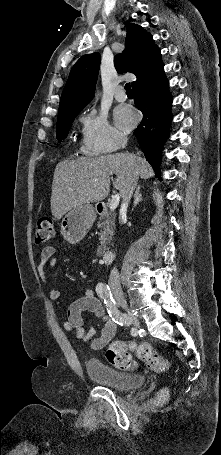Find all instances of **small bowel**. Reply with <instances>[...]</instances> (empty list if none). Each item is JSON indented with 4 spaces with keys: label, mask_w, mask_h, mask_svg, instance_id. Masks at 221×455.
Returning a JSON list of instances; mask_svg holds the SVG:
<instances>
[{
    "label": "small bowel",
    "mask_w": 221,
    "mask_h": 455,
    "mask_svg": "<svg viewBox=\"0 0 221 455\" xmlns=\"http://www.w3.org/2000/svg\"><path fill=\"white\" fill-rule=\"evenodd\" d=\"M55 264V247H45L39 255L37 272L41 281L47 287L48 296L51 300H57L60 297V291L52 286L50 276L47 273V269L54 267ZM85 312L93 313L104 320L99 336H97V331L94 327L88 330L83 327V313ZM63 328L68 332H72L77 340L89 342L92 349H100L115 336L117 325L107 316L102 302L94 295V291L86 289L83 296L69 305Z\"/></svg>",
    "instance_id": "c3829d8e"
}]
</instances>
